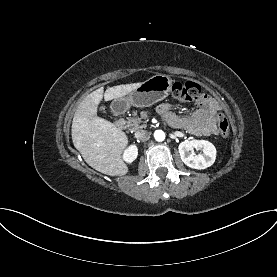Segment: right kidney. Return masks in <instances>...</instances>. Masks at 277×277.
Returning <instances> with one entry per match:
<instances>
[{
    "label": "right kidney",
    "instance_id": "right-kidney-1",
    "mask_svg": "<svg viewBox=\"0 0 277 277\" xmlns=\"http://www.w3.org/2000/svg\"><path fill=\"white\" fill-rule=\"evenodd\" d=\"M138 155V148L136 145H130L123 153V159L127 163H132Z\"/></svg>",
    "mask_w": 277,
    "mask_h": 277
}]
</instances>
